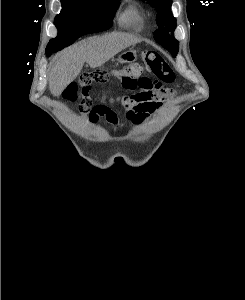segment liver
<instances>
[{
  "mask_svg": "<svg viewBox=\"0 0 245 300\" xmlns=\"http://www.w3.org/2000/svg\"><path fill=\"white\" fill-rule=\"evenodd\" d=\"M139 39L126 33H109L101 37H91L63 51L53 64L49 74V88L54 96H59L73 82L84 63L96 68L114 57L123 49L136 44Z\"/></svg>",
  "mask_w": 245,
  "mask_h": 300,
  "instance_id": "1",
  "label": "liver"
}]
</instances>
